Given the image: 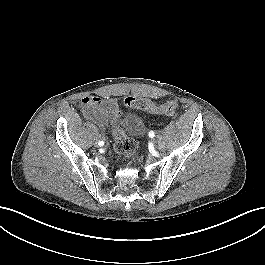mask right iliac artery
I'll return each mask as SVG.
<instances>
[{
	"label": "right iliac artery",
	"mask_w": 265,
	"mask_h": 265,
	"mask_svg": "<svg viewBox=\"0 0 265 265\" xmlns=\"http://www.w3.org/2000/svg\"><path fill=\"white\" fill-rule=\"evenodd\" d=\"M98 144H99V146H103L104 142L103 141H99Z\"/></svg>",
	"instance_id": "82829eb1"
}]
</instances>
